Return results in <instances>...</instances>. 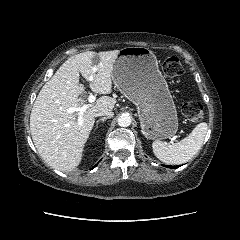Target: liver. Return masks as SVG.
<instances>
[{
	"label": "liver",
	"instance_id": "liver-1",
	"mask_svg": "<svg viewBox=\"0 0 240 240\" xmlns=\"http://www.w3.org/2000/svg\"><path fill=\"white\" fill-rule=\"evenodd\" d=\"M118 55L119 50H113L86 51L72 56L40 90L31 111L30 130L38 153L49 166L69 172L80 164L95 114L112 111L116 99L101 96L88 106L81 119L78 113H68L67 109L84 103L79 98L84 91L79 84L80 74L88 81L93 76L89 83L93 92L111 93L112 69Z\"/></svg>",
	"mask_w": 240,
	"mask_h": 240
}]
</instances>
